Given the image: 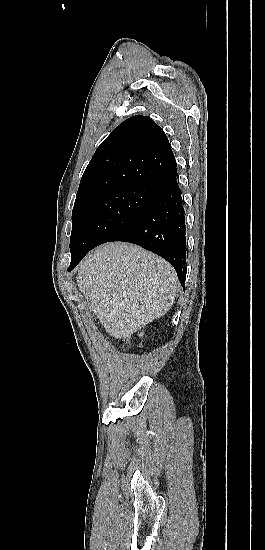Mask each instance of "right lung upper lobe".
<instances>
[{
    "instance_id": "cb5924a9",
    "label": "right lung upper lobe",
    "mask_w": 265,
    "mask_h": 550,
    "mask_svg": "<svg viewBox=\"0 0 265 550\" xmlns=\"http://www.w3.org/2000/svg\"><path fill=\"white\" fill-rule=\"evenodd\" d=\"M175 167L163 130L147 117L133 116L99 145L81 178L75 203L118 188L159 185Z\"/></svg>"
}]
</instances>
